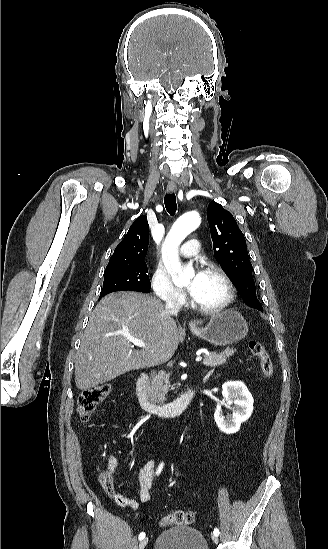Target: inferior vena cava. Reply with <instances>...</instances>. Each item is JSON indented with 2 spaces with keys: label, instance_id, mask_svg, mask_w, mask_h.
<instances>
[{
  "label": "inferior vena cava",
  "instance_id": "inferior-vena-cava-1",
  "mask_svg": "<svg viewBox=\"0 0 328 549\" xmlns=\"http://www.w3.org/2000/svg\"><path fill=\"white\" fill-rule=\"evenodd\" d=\"M181 309L180 303H177L176 299H170V301H166L165 303V313L166 315H178L179 311Z\"/></svg>",
  "mask_w": 328,
  "mask_h": 549
}]
</instances>
